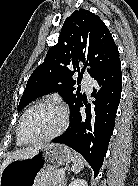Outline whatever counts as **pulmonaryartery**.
<instances>
[{
    "mask_svg": "<svg viewBox=\"0 0 138 186\" xmlns=\"http://www.w3.org/2000/svg\"><path fill=\"white\" fill-rule=\"evenodd\" d=\"M82 84L87 91H90L92 89L93 79L85 73L82 78Z\"/></svg>",
    "mask_w": 138,
    "mask_h": 186,
    "instance_id": "1",
    "label": "pulmonary artery"
}]
</instances>
